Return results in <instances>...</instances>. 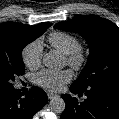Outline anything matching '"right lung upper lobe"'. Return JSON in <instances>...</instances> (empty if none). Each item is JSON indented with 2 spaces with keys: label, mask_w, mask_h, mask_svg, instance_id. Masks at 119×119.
I'll use <instances>...</instances> for the list:
<instances>
[{
  "label": "right lung upper lobe",
  "mask_w": 119,
  "mask_h": 119,
  "mask_svg": "<svg viewBox=\"0 0 119 119\" xmlns=\"http://www.w3.org/2000/svg\"><path fill=\"white\" fill-rule=\"evenodd\" d=\"M51 23H41L36 26H29L26 24H20L15 22H6L0 24V42L3 41L7 35L14 31L18 30H31V31H42L43 29H47L50 27Z\"/></svg>",
  "instance_id": "obj_1"
}]
</instances>
